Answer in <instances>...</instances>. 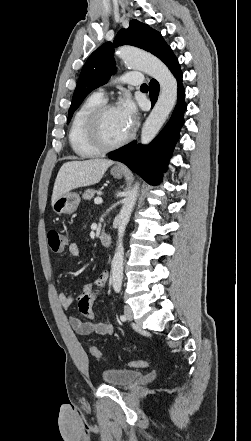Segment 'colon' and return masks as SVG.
<instances>
[{
	"instance_id": "obj_1",
	"label": "colon",
	"mask_w": 251,
	"mask_h": 441,
	"mask_svg": "<svg viewBox=\"0 0 251 441\" xmlns=\"http://www.w3.org/2000/svg\"><path fill=\"white\" fill-rule=\"evenodd\" d=\"M47 239L51 250L56 253L64 251L68 244L67 236L57 230L49 231L47 235ZM89 352L95 358L100 357V352L96 346H90ZM128 365L134 368H143V367H147L149 363L148 361L137 360V361L128 362Z\"/></svg>"
}]
</instances>
